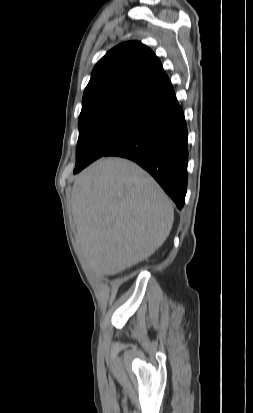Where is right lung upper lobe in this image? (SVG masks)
<instances>
[{
  "label": "right lung upper lobe",
  "instance_id": "obj_1",
  "mask_svg": "<svg viewBox=\"0 0 253 413\" xmlns=\"http://www.w3.org/2000/svg\"><path fill=\"white\" fill-rule=\"evenodd\" d=\"M176 106L174 89L160 60L147 46L130 41L111 49L94 67L80 117L109 108L158 116Z\"/></svg>",
  "mask_w": 253,
  "mask_h": 413
}]
</instances>
